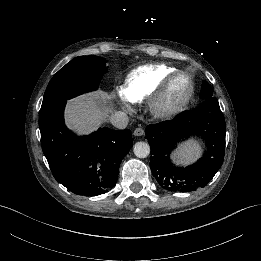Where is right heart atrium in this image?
<instances>
[{
	"label": "right heart atrium",
	"mask_w": 261,
	"mask_h": 261,
	"mask_svg": "<svg viewBox=\"0 0 261 261\" xmlns=\"http://www.w3.org/2000/svg\"><path fill=\"white\" fill-rule=\"evenodd\" d=\"M119 98L121 99L125 109L129 112V113H133L134 109L131 105V101L129 99V97L123 93V92H119Z\"/></svg>",
	"instance_id": "right-heart-atrium-1"
}]
</instances>
